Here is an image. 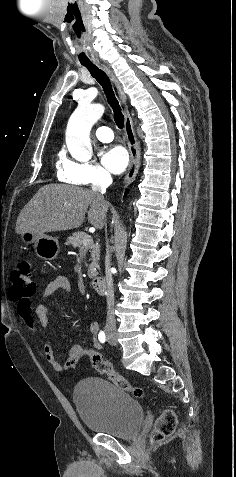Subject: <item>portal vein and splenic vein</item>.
<instances>
[{
  "mask_svg": "<svg viewBox=\"0 0 236 477\" xmlns=\"http://www.w3.org/2000/svg\"><path fill=\"white\" fill-rule=\"evenodd\" d=\"M92 239L90 238H85L82 242L83 246H87L90 242H91Z\"/></svg>",
  "mask_w": 236,
  "mask_h": 477,
  "instance_id": "18ae733b",
  "label": "portal vein and splenic vein"
}]
</instances>
